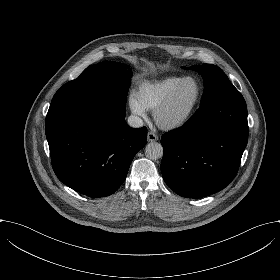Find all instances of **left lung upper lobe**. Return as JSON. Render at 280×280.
Returning <instances> with one entry per match:
<instances>
[{
  "label": "left lung upper lobe",
  "mask_w": 280,
  "mask_h": 280,
  "mask_svg": "<svg viewBox=\"0 0 280 280\" xmlns=\"http://www.w3.org/2000/svg\"><path fill=\"white\" fill-rule=\"evenodd\" d=\"M184 69L197 71L203 77L204 92L200 101V107L223 96L238 92L226 74L216 65L202 64L189 68L184 67Z\"/></svg>",
  "instance_id": "1"
}]
</instances>
